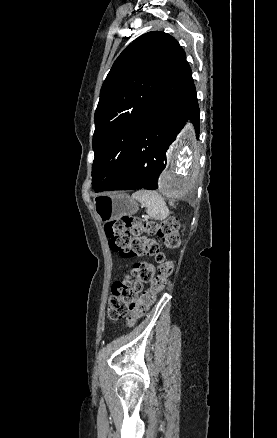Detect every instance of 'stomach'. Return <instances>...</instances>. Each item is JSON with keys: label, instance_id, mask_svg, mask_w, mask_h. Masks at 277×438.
I'll list each match as a JSON object with an SVG mask.
<instances>
[{"label": "stomach", "instance_id": "0dacf381", "mask_svg": "<svg viewBox=\"0 0 277 438\" xmlns=\"http://www.w3.org/2000/svg\"><path fill=\"white\" fill-rule=\"evenodd\" d=\"M95 212L102 222L114 221L137 212L138 203L122 192L105 193L95 197Z\"/></svg>", "mask_w": 277, "mask_h": 438}]
</instances>
